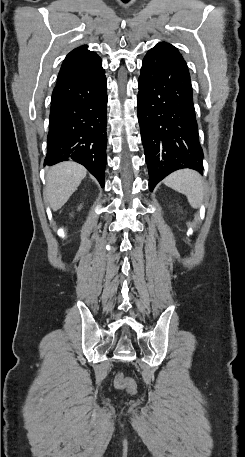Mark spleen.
I'll list each match as a JSON object with an SVG mask.
<instances>
[{"mask_svg": "<svg viewBox=\"0 0 245 457\" xmlns=\"http://www.w3.org/2000/svg\"><path fill=\"white\" fill-rule=\"evenodd\" d=\"M164 182L174 190L186 194L188 202L194 208H199L200 204H202L205 186L202 176L196 170H191V168L175 170V172L166 176Z\"/></svg>", "mask_w": 245, "mask_h": 457, "instance_id": "3e777b00", "label": "spleen"}]
</instances>
